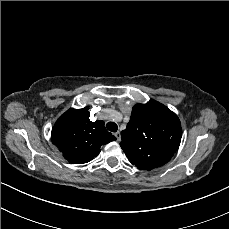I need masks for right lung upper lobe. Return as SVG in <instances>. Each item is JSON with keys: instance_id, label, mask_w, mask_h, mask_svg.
Instances as JSON below:
<instances>
[{"instance_id": "obj_1", "label": "right lung upper lobe", "mask_w": 229, "mask_h": 229, "mask_svg": "<svg viewBox=\"0 0 229 229\" xmlns=\"http://www.w3.org/2000/svg\"><path fill=\"white\" fill-rule=\"evenodd\" d=\"M88 107L69 109L52 128V142L70 163L83 164L94 159L101 146L116 140L104 122L90 121Z\"/></svg>"}]
</instances>
